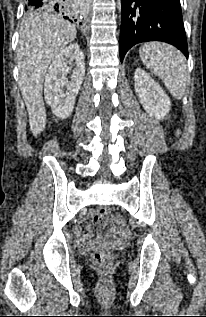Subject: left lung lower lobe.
I'll use <instances>...</instances> for the list:
<instances>
[{
    "label": "left lung lower lobe",
    "instance_id": "obj_1",
    "mask_svg": "<svg viewBox=\"0 0 206 317\" xmlns=\"http://www.w3.org/2000/svg\"><path fill=\"white\" fill-rule=\"evenodd\" d=\"M120 60L135 44L163 41L188 58L180 0H121Z\"/></svg>",
    "mask_w": 206,
    "mask_h": 317
}]
</instances>
